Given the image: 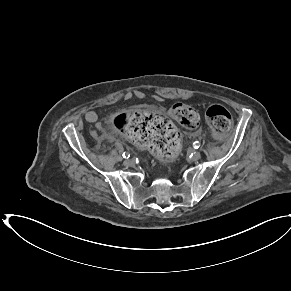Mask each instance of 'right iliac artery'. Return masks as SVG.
<instances>
[{
  "label": "right iliac artery",
  "instance_id": "82829eb1",
  "mask_svg": "<svg viewBox=\"0 0 291 291\" xmlns=\"http://www.w3.org/2000/svg\"><path fill=\"white\" fill-rule=\"evenodd\" d=\"M123 158H129L130 157V154L128 152H124L122 154Z\"/></svg>",
  "mask_w": 291,
  "mask_h": 291
}]
</instances>
